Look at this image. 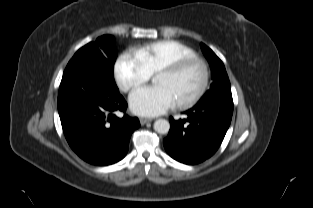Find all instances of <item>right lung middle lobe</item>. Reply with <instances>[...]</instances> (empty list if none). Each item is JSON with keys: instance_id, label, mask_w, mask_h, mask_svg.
I'll list each match as a JSON object with an SVG mask.
<instances>
[{"instance_id": "obj_1", "label": "right lung middle lobe", "mask_w": 313, "mask_h": 208, "mask_svg": "<svg viewBox=\"0 0 313 208\" xmlns=\"http://www.w3.org/2000/svg\"><path fill=\"white\" fill-rule=\"evenodd\" d=\"M116 59V50L112 36L103 35L97 38L96 42H90L80 48L69 61L64 72L78 63H88L100 69L103 77L114 79L113 70Z\"/></svg>"}]
</instances>
